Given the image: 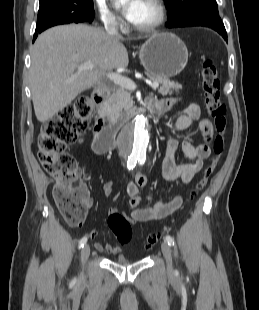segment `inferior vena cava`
Returning <instances> with one entry per match:
<instances>
[{
  "label": "inferior vena cava",
  "mask_w": 259,
  "mask_h": 310,
  "mask_svg": "<svg viewBox=\"0 0 259 310\" xmlns=\"http://www.w3.org/2000/svg\"><path fill=\"white\" fill-rule=\"evenodd\" d=\"M105 30H106V33L110 35L112 38L121 37L118 32L117 25L114 19H109L106 21Z\"/></svg>",
  "instance_id": "1"
}]
</instances>
